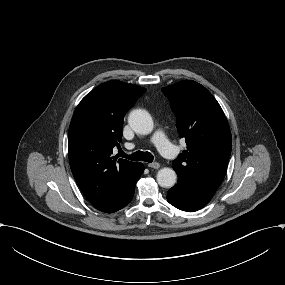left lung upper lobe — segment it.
I'll return each mask as SVG.
<instances>
[{
	"instance_id": "1",
	"label": "left lung upper lobe",
	"mask_w": 285,
	"mask_h": 285,
	"mask_svg": "<svg viewBox=\"0 0 285 285\" xmlns=\"http://www.w3.org/2000/svg\"><path fill=\"white\" fill-rule=\"evenodd\" d=\"M187 150L173 161L178 177L214 193L228 166L232 137L219 103L201 84L184 80L162 88Z\"/></svg>"
}]
</instances>
